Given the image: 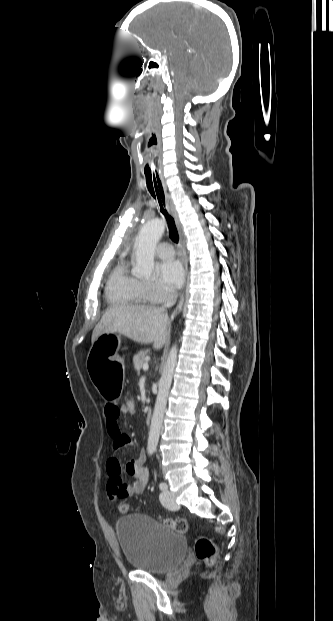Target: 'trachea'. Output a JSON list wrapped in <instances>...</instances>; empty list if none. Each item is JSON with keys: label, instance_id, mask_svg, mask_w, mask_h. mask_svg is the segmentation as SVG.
Here are the masks:
<instances>
[{"label": "trachea", "instance_id": "1", "mask_svg": "<svg viewBox=\"0 0 333 621\" xmlns=\"http://www.w3.org/2000/svg\"><path fill=\"white\" fill-rule=\"evenodd\" d=\"M145 177H146V184H147L148 191L150 192L151 196L154 199H156L157 197V200L160 206V211L162 212V214L165 216L167 220L169 236L173 242L178 243L179 235H178V231H177V227L175 225L174 219L168 214V212L163 207L164 192H163V188L159 180V177L158 175L157 176L152 175L151 172L150 173L145 172Z\"/></svg>", "mask_w": 333, "mask_h": 621}]
</instances>
